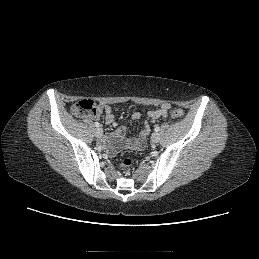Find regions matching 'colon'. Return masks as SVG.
Wrapping results in <instances>:
<instances>
[{"label": "colon", "instance_id": "colon-1", "mask_svg": "<svg viewBox=\"0 0 259 259\" xmlns=\"http://www.w3.org/2000/svg\"><path fill=\"white\" fill-rule=\"evenodd\" d=\"M100 107L95 103V101L91 99H84L76 102L72 108L71 111L73 114L78 116H88L93 117L98 114ZM172 117L176 119H181L184 117V111L179 108L171 109L170 111ZM133 164L132 159L130 158H124L121 161V167L123 169H130Z\"/></svg>", "mask_w": 259, "mask_h": 259}]
</instances>
